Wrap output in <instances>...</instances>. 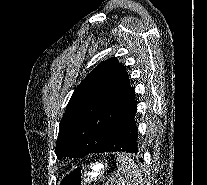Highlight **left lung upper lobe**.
Here are the masks:
<instances>
[{
    "label": "left lung upper lobe",
    "instance_id": "5c2ea615",
    "mask_svg": "<svg viewBox=\"0 0 207 185\" xmlns=\"http://www.w3.org/2000/svg\"><path fill=\"white\" fill-rule=\"evenodd\" d=\"M135 104L126 68L115 57L101 62L70 98L59 125L57 158L101 153L113 128Z\"/></svg>",
    "mask_w": 207,
    "mask_h": 185
}]
</instances>
